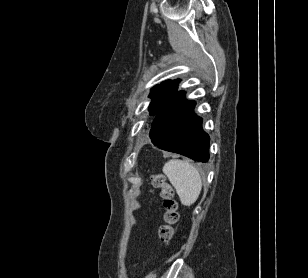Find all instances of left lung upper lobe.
I'll list each match as a JSON object with an SVG mask.
<instances>
[{
	"label": "left lung upper lobe",
	"mask_w": 308,
	"mask_h": 278,
	"mask_svg": "<svg viewBox=\"0 0 308 278\" xmlns=\"http://www.w3.org/2000/svg\"><path fill=\"white\" fill-rule=\"evenodd\" d=\"M179 82V79L173 81L167 80L151 89L149 97L153 98V100L149 105L150 115H157L160 110H162L174 97L177 93V86Z\"/></svg>",
	"instance_id": "obj_1"
}]
</instances>
